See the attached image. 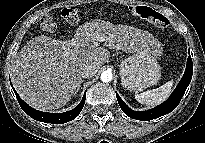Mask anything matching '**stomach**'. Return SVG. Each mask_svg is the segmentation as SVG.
Segmentation results:
<instances>
[{"label": "stomach", "instance_id": "obj_1", "mask_svg": "<svg viewBox=\"0 0 205 143\" xmlns=\"http://www.w3.org/2000/svg\"><path fill=\"white\" fill-rule=\"evenodd\" d=\"M122 86L140 92L158 83L161 67L154 49L142 50L121 61L119 65Z\"/></svg>", "mask_w": 205, "mask_h": 143}]
</instances>
